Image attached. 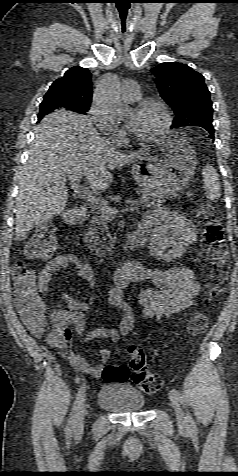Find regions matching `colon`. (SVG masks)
Here are the masks:
<instances>
[{
    "label": "colon",
    "instance_id": "1",
    "mask_svg": "<svg viewBox=\"0 0 238 476\" xmlns=\"http://www.w3.org/2000/svg\"><path fill=\"white\" fill-rule=\"evenodd\" d=\"M196 218L202 226L201 246L209 258L212 269L208 277L207 287L210 297H215L228 288L227 259L228 245L224 229L221 224L222 215L208 202H201L196 209ZM56 227L46 225L40 227L28 241L24 257L29 261L47 260L56 248ZM14 300L22 320L31 331L40 335L44 331L45 308L39 297L35 276L32 269L24 262H16L12 266ZM207 328V317L202 312L194 313L188 322V331L191 334H201ZM60 334L51 332L49 341L55 345L60 339ZM129 367L125 365L110 364L102 371L106 382H122L129 377V368L135 373L134 383L145 393H155L161 387L159 375L152 372L147 363L143 349L130 346Z\"/></svg>",
    "mask_w": 238,
    "mask_h": 476
}]
</instances>
